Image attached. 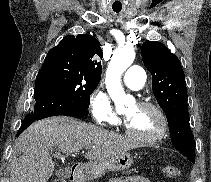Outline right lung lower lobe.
Wrapping results in <instances>:
<instances>
[{
	"label": "right lung lower lobe",
	"mask_w": 211,
	"mask_h": 182,
	"mask_svg": "<svg viewBox=\"0 0 211 182\" xmlns=\"http://www.w3.org/2000/svg\"><path fill=\"white\" fill-rule=\"evenodd\" d=\"M34 98L36 104L24 118L17 136L36 120L56 115L84 117L89 113L87 109L79 107L69 98L42 85L35 86Z\"/></svg>",
	"instance_id": "1"
}]
</instances>
